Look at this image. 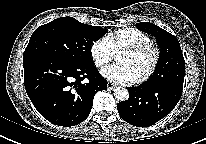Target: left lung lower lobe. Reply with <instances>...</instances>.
Wrapping results in <instances>:
<instances>
[{"mask_svg":"<svg viewBox=\"0 0 206 144\" xmlns=\"http://www.w3.org/2000/svg\"><path fill=\"white\" fill-rule=\"evenodd\" d=\"M185 69H174L158 83H147L128 88L129 99L119 102L117 110L127 123L149 127L167 116L179 102Z\"/></svg>","mask_w":206,"mask_h":144,"instance_id":"0a47b994","label":"left lung lower lobe"}]
</instances>
